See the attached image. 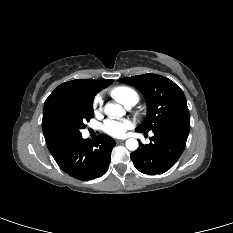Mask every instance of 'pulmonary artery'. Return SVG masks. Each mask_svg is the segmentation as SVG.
I'll use <instances>...</instances> for the list:
<instances>
[{
	"label": "pulmonary artery",
	"instance_id": "obj_1",
	"mask_svg": "<svg viewBox=\"0 0 233 233\" xmlns=\"http://www.w3.org/2000/svg\"><path fill=\"white\" fill-rule=\"evenodd\" d=\"M133 105L131 104V105H128V106H126L127 108H130V107H132Z\"/></svg>",
	"mask_w": 233,
	"mask_h": 233
}]
</instances>
